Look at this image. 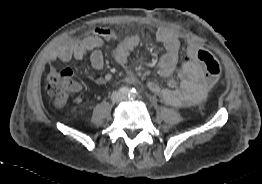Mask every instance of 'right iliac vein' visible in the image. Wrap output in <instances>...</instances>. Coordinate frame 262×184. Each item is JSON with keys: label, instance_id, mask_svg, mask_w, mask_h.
I'll return each instance as SVG.
<instances>
[{"label": "right iliac vein", "instance_id": "obj_1", "mask_svg": "<svg viewBox=\"0 0 262 184\" xmlns=\"http://www.w3.org/2000/svg\"><path fill=\"white\" fill-rule=\"evenodd\" d=\"M122 99V96L120 93H115L113 96V100L116 102H119Z\"/></svg>", "mask_w": 262, "mask_h": 184}]
</instances>
